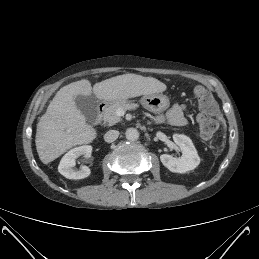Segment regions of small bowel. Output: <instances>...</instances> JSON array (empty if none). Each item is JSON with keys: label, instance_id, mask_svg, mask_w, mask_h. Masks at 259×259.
<instances>
[{"label": "small bowel", "instance_id": "1", "mask_svg": "<svg viewBox=\"0 0 259 259\" xmlns=\"http://www.w3.org/2000/svg\"><path fill=\"white\" fill-rule=\"evenodd\" d=\"M156 121H167L176 126H184L187 123V109L184 105H174L165 114L158 115Z\"/></svg>", "mask_w": 259, "mask_h": 259}]
</instances>
